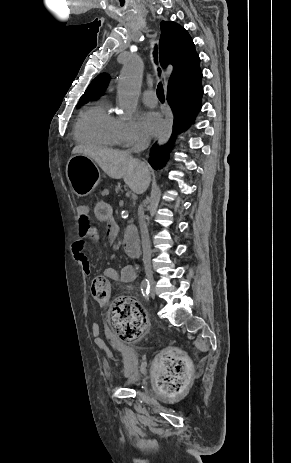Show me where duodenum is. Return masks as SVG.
Returning <instances> with one entry per match:
<instances>
[{"mask_svg": "<svg viewBox=\"0 0 291 463\" xmlns=\"http://www.w3.org/2000/svg\"><path fill=\"white\" fill-rule=\"evenodd\" d=\"M138 241H139V236H138L136 228L132 225H128L125 229V239L123 240V243H122L123 248L128 254L132 256H137L138 255V248H137Z\"/></svg>", "mask_w": 291, "mask_h": 463, "instance_id": "obj_1", "label": "duodenum"}]
</instances>
